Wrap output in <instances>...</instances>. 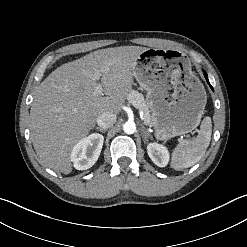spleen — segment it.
Returning a JSON list of instances; mask_svg holds the SVG:
<instances>
[{"mask_svg":"<svg viewBox=\"0 0 247 247\" xmlns=\"http://www.w3.org/2000/svg\"><path fill=\"white\" fill-rule=\"evenodd\" d=\"M211 118L205 117L198 135L191 141H181L172 152L171 167L175 170L195 165L205 154L211 140Z\"/></svg>","mask_w":247,"mask_h":247,"instance_id":"1","label":"spleen"}]
</instances>
